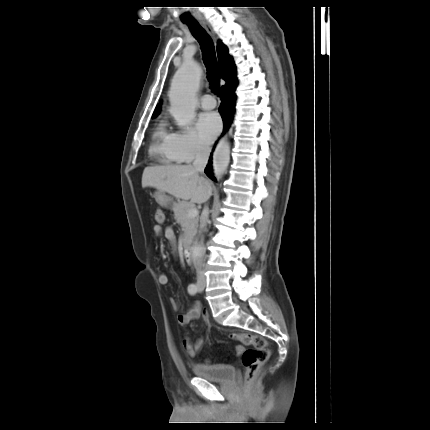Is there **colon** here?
Returning a JSON list of instances; mask_svg holds the SVG:
<instances>
[{
	"label": "colon",
	"instance_id": "colon-1",
	"mask_svg": "<svg viewBox=\"0 0 430 430\" xmlns=\"http://www.w3.org/2000/svg\"><path fill=\"white\" fill-rule=\"evenodd\" d=\"M164 218L163 211L157 209L155 211L156 222L161 224ZM230 337L248 346L247 349L236 347V351L242 355V363L245 367V385L250 387L269 358L268 342L264 337L249 332L232 333Z\"/></svg>",
	"mask_w": 430,
	"mask_h": 430
}]
</instances>
